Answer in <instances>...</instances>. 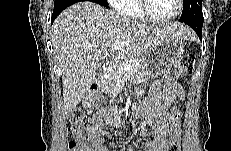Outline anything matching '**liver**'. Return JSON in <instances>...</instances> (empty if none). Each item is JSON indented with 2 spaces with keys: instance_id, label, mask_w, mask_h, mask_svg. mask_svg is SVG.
<instances>
[{
  "instance_id": "1",
  "label": "liver",
  "mask_w": 231,
  "mask_h": 151,
  "mask_svg": "<svg viewBox=\"0 0 231 151\" xmlns=\"http://www.w3.org/2000/svg\"><path fill=\"white\" fill-rule=\"evenodd\" d=\"M168 37L189 39L183 24L148 25L123 17L94 2H77L66 8L52 25L51 41L62 72L64 113L79 104L97 75L98 62L116 51L119 57H139ZM122 43L119 50L112 45Z\"/></svg>"
}]
</instances>
